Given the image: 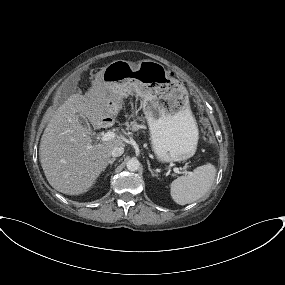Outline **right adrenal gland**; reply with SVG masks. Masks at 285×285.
I'll list each match as a JSON object with an SVG mask.
<instances>
[{
	"instance_id": "2a0ac1e0",
	"label": "right adrenal gland",
	"mask_w": 285,
	"mask_h": 285,
	"mask_svg": "<svg viewBox=\"0 0 285 285\" xmlns=\"http://www.w3.org/2000/svg\"><path fill=\"white\" fill-rule=\"evenodd\" d=\"M114 161H115V158H112V159L109 161L110 168L112 167V164L114 163Z\"/></svg>"
}]
</instances>
